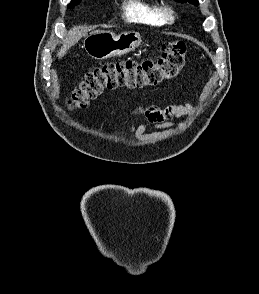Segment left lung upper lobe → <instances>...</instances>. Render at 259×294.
<instances>
[{"label": "left lung upper lobe", "instance_id": "left-lung-upper-lobe-1", "mask_svg": "<svg viewBox=\"0 0 259 294\" xmlns=\"http://www.w3.org/2000/svg\"><path fill=\"white\" fill-rule=\"evenodd\" d=\"M175 1L180 2V3H191L194 5H198V0H175Z\"/></svg>", "mask_w": 259, "mask_h": 294}]
</instances>
